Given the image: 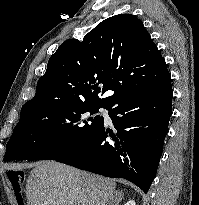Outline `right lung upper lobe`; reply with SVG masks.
Instances as JSON below:
<instances>
[{
    "instance_id": "obj_1",
    "label": "right lung upper lobe",
    "mask_w": 199,
    "mask_h": 205,
    "mask_svg": "<svg viewBox=\"0 0 199 205\" xmlns=\"http://www.w3.org/2000/svg\"><path fill=\"white\" fill-rule=\"evenodd\" d=\"M165 73V59L142 21L120 14L99 23L83 41L63 42L38 80L34 98L23 106L67 102L107 108L136 91L143 78ZM107 90L114 94L98 98Z\"/></svg>"
}]
</instances>
